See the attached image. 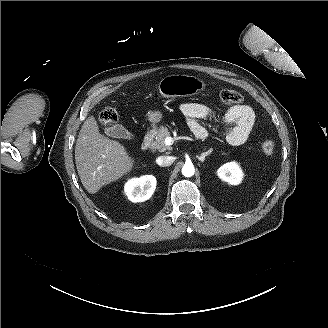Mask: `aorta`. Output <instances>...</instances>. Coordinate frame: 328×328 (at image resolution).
<instances>
[{
    "label": "aorta",
    "mask_w": 328,
    "mask_h": 328,
    "mask_svg": "<svg viewBox=\"0 0 328 328\" xmlns=\"http://www.w3.org/2000/svg\"><path fill=\"white\" fill-rule=\"evenodd\" d=\"M194 173H195V168L192 163L184 164V166L182 167V174L185 177H191L194 175Z\"/></svg>",
    "instance_id": "1"
}]
</instances>
